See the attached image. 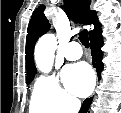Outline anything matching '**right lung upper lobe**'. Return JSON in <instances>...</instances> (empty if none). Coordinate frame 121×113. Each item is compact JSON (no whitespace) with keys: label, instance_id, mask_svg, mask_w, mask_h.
Listing matches in <instances>:
<instances>
[{"label":"right lung upper lobe","instance_id":"1","mask_svg":"<svg viewBox=\"0 0 121 113\" xmlns=\"http://www.w3.org/2000/svg\"><path fill=\"white\" fill-rule=\"evenodd\" d=\"M91 0H64V7L66 13L75 22L83 24H93L94 30L89 32L92 36L101 30V24L98 22L95 11L90 10ZM45 9L44 5L39 6L32 14L31 20L28 25L27 39H26V64H27V77L35 76L37 69L34 65L33 52L34 46L38 38L46 33L50 24L43 14Z\"/></svg>","mask_w":121,"mask_h":113}]
</instances>
